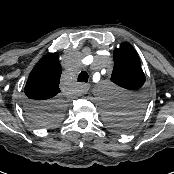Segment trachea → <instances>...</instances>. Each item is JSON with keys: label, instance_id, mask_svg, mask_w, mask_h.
<instances>
[{"label": "trachea", "instance_id": "obj_1", "mask_svg": "<svg viewBox=\"0 0 174 174\" xmlns=\"http://www.w3.org/2000/svg\"><path fill=\"white\" fill-rule=\"evenodd\" d=\"M88 73L86 71H82L79 75H78V81L79 82H88Z\"/></svg>", "mask_w": 174, "mask_h": 174}]
</instances>
